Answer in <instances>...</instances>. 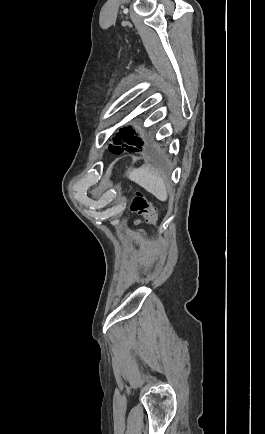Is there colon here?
Returning <instances> with one entry per match:
<instances>
[{
	"label": "colon",
	"instance_id": "colon-1",
	"mask_svg": "<svg viewBox=\"0 0 265 434\" xmlns=\"http://www.w3.org/2000/svg\"><path fill=\"white\" fill-rule=\"evenodd\" d=\"M129 209L131 212H141L146 219L151 223L158 221V212L152 205L147 196L142 193H137L130 202Z\"/></svg>",
	"mask_w": 265,
	"mask_h": 434
}]
</instances>
